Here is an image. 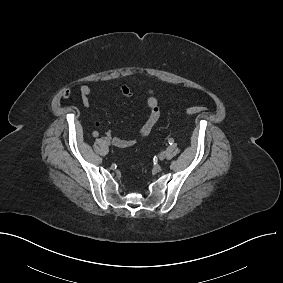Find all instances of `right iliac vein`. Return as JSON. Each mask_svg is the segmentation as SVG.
Returning a JSON list of instances; mask_svg holds the SVG:
<instances>
[{
    "label": "right iliac vein",
    "instance_id": "obj_1",
    "mask_svg": "<svg viewBox=\"0 0 283 283\" xmlns=\"http://www.w3.org/2000/svg\"><path fill=\"white\" fill-rule=\"evenodd\" d=\"M105 142H106V144L110 145V139L109 138L106 137Z\"/></svg>",
    "mask_w": 283,
    "mask_h": 283
}]
</instances>
